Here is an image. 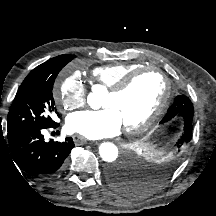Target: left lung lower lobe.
<instances>
[{
    "mask_svg": "<svg viewBox=\"0 0 216 216\" xmlns=\"http://www.w3.org/2000/svg\"><path fill=\"white\" fill-rule=\"evenodd\" d=\"M107 178L120 192L133 195L132 191L135 180L134 176L127 169L114 166L107 171Z\"/></svg>",
    "mask_w": 216,
    "mask_h": 216,
    "instance_id": "obj_1",
    "label": "left lung lower lobe"
}]
</instances>
